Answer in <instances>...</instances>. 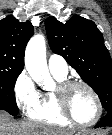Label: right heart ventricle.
Instances as JSON below:
<instances>
[{"label": "right heart ventricle", "instance_id": "e07e8e85", "mask_svg": "<svg viewBox=\"0 0 112 135\" xmlns=\"http://www.w3.org/2000/svg\"><path fill=\"white\" fill-rule=\"evenodd\" d=\"M58 83L66 81V76H58L53 74ZM29 118L52 125H67L70 123L58 109L54 92H39L37 104L28 112Z\"/></svg>", "mask_w": 112, "mask_h": 135}]
</instances>
